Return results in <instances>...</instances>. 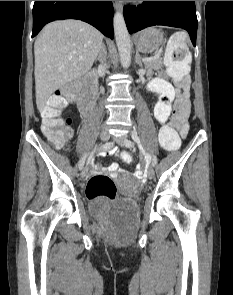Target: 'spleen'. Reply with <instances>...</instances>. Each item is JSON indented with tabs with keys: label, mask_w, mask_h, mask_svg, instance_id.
<instances>
[{
	"label": "spleen",
	"mask_w": 233,
	"mask_h": 295,
	"mask_svg": "<svg viewBox=\"0 0 233 295\" xmlns=\"http://www.w3.org/2000/svg\"><path fill=\"white\" fill-rule=\"evenodd\" d=\"M185 38H186V36L184 33H176L171 36L170 40L167 43L166 58L171 59L173 51L178 47L187 50ZM191 59H192L191 54L187 51L183 62L175 63V62L170 61L169 64H170V66H175V65L186 66L188 63L191 62Z\"/></svg>",
	"instance_id": "1"
}]
</instances>
